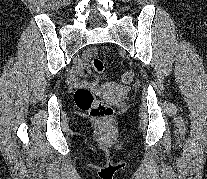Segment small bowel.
Here are the masks:
<instances>
[{
	"label": "small bowel",
	"instance_id": "obj_1",
	"mask_svg": "<svg viewBox=\"0 0 207 179\" xmlns=\"http://www.w3.org/2000/svg\"><path fill=\"white\" fill-rule=\"evenodd\" d=\"M97 54L98 52L95 48H89L84 51L78 65L73 69L71 74L70 83L73 86H88L91 88L98 86V79L90 71L91 62ZM78 76H82L83 78L79 79Z\"/></svg>",
	"mask_w": 207,
	"mask_h": 179
}]
</instances>
